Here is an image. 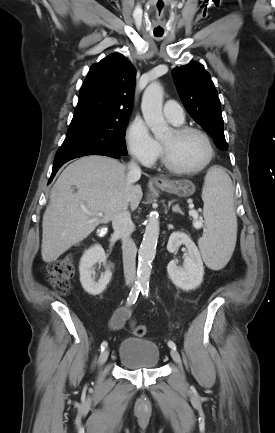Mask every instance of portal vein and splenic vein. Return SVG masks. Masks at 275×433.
I'll return each mask as SVG.
<instances>
[{
    "label": "portal vein and splenic vein",
    "mask_w": 275,
    "mask_h": 433,
    "mask_svg": "<svg viewBox=\"0 0 275 433\" xmlns=\"http://www.w3.org/2000/svg\"><path fill=\"white\" fill-rule=\"evenodd\" d=\"M84 212L87 213V214H89V215H94L92 213H89L87 210H84ZM189 215L194 219L193 226L195 228L199 229V228L203 227L202 220L199 217V214H198V212L196 210L191 209L189 211ZM97 216L101 217V216H103V214L102 213H98Z\"/></svg>",
    "instance_id": "obj_1"
}]
</instances>
